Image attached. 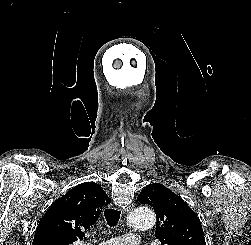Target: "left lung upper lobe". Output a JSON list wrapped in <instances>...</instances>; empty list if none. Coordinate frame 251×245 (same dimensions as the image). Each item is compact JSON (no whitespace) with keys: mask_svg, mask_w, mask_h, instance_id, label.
<instances>
[{"mask_svg":"<svg viewBox=\"0 0 251 245\" xmlns=\"http://www.w3.org/2000/svg\"><path fill=\"white\" fill-rule=\"evenodd\" d=\"M137 200L157 215L155 236L162 245H206L201 222L178 195L162 184H149Z\"/></svg>","mask_w":251,"mask_h":245,"instance_id":"1","label":"left lung upper lobe"}]
</instances>
